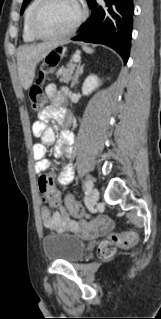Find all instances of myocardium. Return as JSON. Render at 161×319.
Here are the masks:
<instances>
[{"label":"myocardium","mask_w":161,"mask_h":319,"mask_svg":"<svg viewBox=\"0 0 161 319\" xmlns=\"http://www.w3.org/2000/svg\"><path fill=\"white\" fill-rule=\"evenodd\" d=\"M49 1L50 0H39V3L37 4L36 8L34 9V12L31 16V20H30V31H31L32 35L37 39L52 40V39L63 38V37L70 35L71 33H73L85 17V9H84V6L82 5L80 0H73L75 5H76V8H77V15H76L75 19L73 20V22L65 30H63L62 32L56 33V34H49V35L43 34L38 30L37 25H36L38 16H39L40 12L42 11V9L44 8V6Z\"/></svg>","instance_id":"f54148a6"}]
</instances>
